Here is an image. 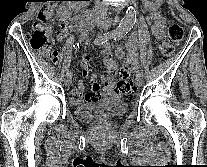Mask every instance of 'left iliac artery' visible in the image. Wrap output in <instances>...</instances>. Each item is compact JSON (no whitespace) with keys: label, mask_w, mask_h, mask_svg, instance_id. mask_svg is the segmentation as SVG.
<instances>
[{"label":"left iliac artery","mask_w":207,"mask_h":167,"mask_svg":"<svg viewBox=\"0 0 207 167\" xmlns=\"http://www.w3.org/2000/svg\"><path fill=\"white\" fill-rule=\"evenodd\" d=\"M125 35V33H117L113 36V39L116 41V40H119L121 39L123 36ZM137 75H143V71L142 70H138L137 71Z\"/></svg>","instance_id":"obj_1"}]
</instances>
